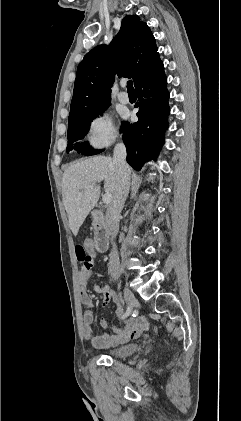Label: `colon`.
<instances>
[{
  "label": "colon",
  "instance_id": "colon-1",
  "mask_svg": "<svg viewBox=\"0 0 241 421\" xmlns=\"http://www.w3.org/2000/svg\"><path fill=\"white\" fill-rule=\"evenodd\" d=\"M75 252L78 261L87 266H93L94 244L92 241L87 240L82 244H77Z\"/></svg>",
  "mask_w": 241,
  "mask_h": 421
}]
</instances>
